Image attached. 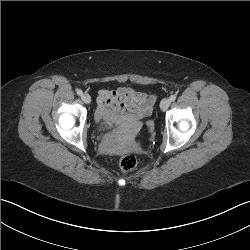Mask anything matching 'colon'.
I'll return each mask as SVG.
<instances>
[{"label":"colon","instance_id":"5ec220e1","mask_svg":"<svg viewBox=\"0 0 250 250\" xmlns=\"http://www.w3.org/2000/svg\"><path fill=\"white\" fill-rule=\"evenodd\" d=\"M137 160L135 156L130 154L119 155V167L122 172H129L136 167Z\"/></svg>","mask_w":250,"mask_h":250}]
</instances>
